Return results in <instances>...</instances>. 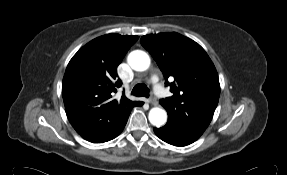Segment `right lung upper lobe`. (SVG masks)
I'll list each match as a JSON object with an SVG mask.
<instances>
[{
	"label": "right lung upper lobe",
	"mask_w": 287,
	"mask_h": 175,
	"mask_svg": "<svg viewBox=\"0 0 287 175\" xmlns=\"http://www.w3.org/2000/svg\"><path fill=\"white\" fill-rule=\"evenodd\" d=\"M138 36L107 34L83 46L70 60L62 83V96L67 117L89 142L98 143L108 137L143 102L131 101L123 94L113 99L117 67Z\"/></svg>",
	"instance_id": "obj_1"
}]
</instances>
